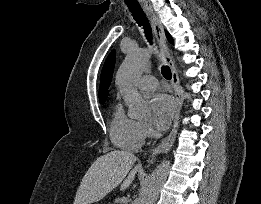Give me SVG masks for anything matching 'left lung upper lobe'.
Wrapping results in <instances>:
<instances>
[{"label":"left lung upper lobe","instance_id":"5c2ea615","mask_svg":"<svg viewBox=\"0 0 261 204\" xmlns=\"http://www.w3.org/2000/svg\"><path fill=\"white\" fill-rule=\"evenodd\" d=\"M166 37L170 43H173V39L168 32H166Z\"/></svg>","mask_w":261,"mask_h":204}]
</instances>
